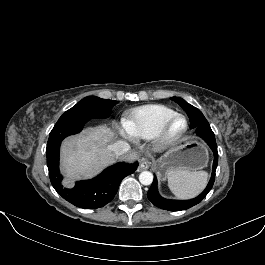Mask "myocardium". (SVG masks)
I'll return each mask as SVG.
<instances>
[{
	"instance_id": "myocardium-1",
	"label": "myocardium",
	"mask_w": 265,
	"mask_h": 265,
	"mask_svg": "<svg viewBox=\"0 0 265 265\" xmlns=\"http://www.w3.org/2000/svg\"><path fill=\"white\" fill-rule=\"evenodd\" d=\"M177 119H181L183 121V126L179 131L174 132L172 130V126L175 120ZM187 130H188L187 118L183 114L176 112L163 122L157 135L154 137V140L156 144H158L161 147L173 146L182 139V137L185 135Z\"/></svg>"
}]
</instances>
